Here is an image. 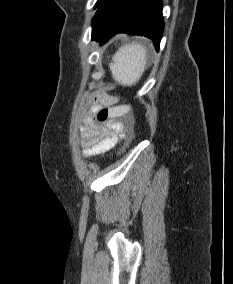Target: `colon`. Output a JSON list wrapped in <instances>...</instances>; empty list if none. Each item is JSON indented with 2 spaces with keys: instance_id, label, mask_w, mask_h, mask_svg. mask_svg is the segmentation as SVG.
<instances>
[{
  "instance_id": "obj_1",
  "label": "colon",
  "mask_w": 233,
  "mask_h": 284,
  "mask_svg": "<svg viewBox=\"0 0 233 284\" xmlns=\"http://www.w3.org/2000/svg\"><path fill=\"white\" fill-rule=\"evenodd\" d=\"M130 111L131 107L129 105L102 108L96 113L95 120L98 124H104L111 118L128 116Z\"/></svg>"
}]
</instances>
